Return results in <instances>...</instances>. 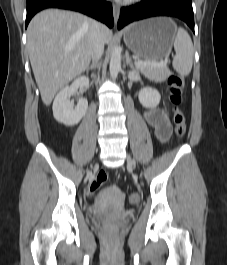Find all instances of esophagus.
Returning a JSON list of instances; mask_svg holds the SVG:
<instances>
[{
  "label": "esophagus",
  "instance_id": "obj_1",
  "mask_svg": "<svg viewBox=\"0 0 227 265\" xmlns=\"http://www.w3.org/2000/svg\"><path fill=\"white\" fill-rule=\"evenodd\" d=\"M119 15H120V7L118 5L113 4V16L115 24H117L118 22Z\"/></svg>",
  "mask_w": 227,
  "mask_h": 265
}]
</instances>
